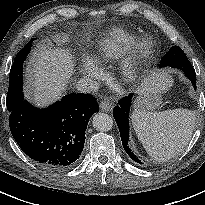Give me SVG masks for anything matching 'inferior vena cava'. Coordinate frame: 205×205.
<instances>
[{"label": "inferior vena cava", "mask_w": 205, "mask_h": 205, "mask_svg": "<svg viewBox=\"0 0 205 205\" xmlns=\"http://www.w3.org/2000/svg\"><path fill=\"white\" fill-rule=\"evenodd\" d=\"M76 89L82 93H92L98 90V83L90 78H82L76 82Z\"/></svg>", "instance_id": "602c4592"}]
</instances>
